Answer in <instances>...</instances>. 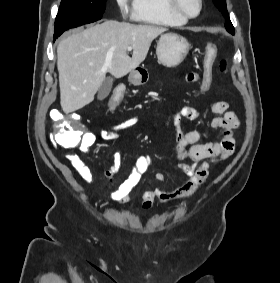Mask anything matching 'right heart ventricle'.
<instances>
[{"label":"right heart ventricle","instance_id":"right-heart-ventricle-1","mask_svg":"<svg viewBox=\"0 0 280 283\" xmlns=\"http://www.w3.org/2000/svg\"><path fill=\"white\" fill-rule=\"evenodd\" d=\"M132 17L150 25L174 27L187 23V19L170 9L168 0H134Z\"/></svg>","mask_w":280,"mask_h":283}]
</instances>
